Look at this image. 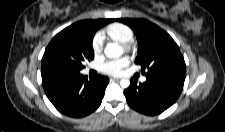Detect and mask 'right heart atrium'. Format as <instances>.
Returning a JSON list of instances; mask_svg holds the SVG:
<instances>
[{
	"mask_svg": "<svg viewBox=\"0 0 225 132\" xmlns=\"http://www.w3.org/2000/svg\"><path fill=\"white\" fill-rule=\"evenodd\" d=\"M103 47V38L100 34H96L92 40V50L95 55L101 53Z\"/></svg>",
	"mask_w": 225,
	"mask_h": 132,
	"instance_id": "d8ad5b80",
	"label": "right heart atrium"
}]
</instances>
